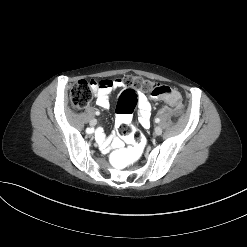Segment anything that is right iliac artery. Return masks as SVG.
I'll use <instances>...</instances> for the list:
<instances>
[{
	"label": "right iliac artery",
	"mask_w": 247,
	"mask_h": 247,
	"mask_svg": "<svg viewBox=\"0 0 247 247\" xmlns=\"http://www.w3.org/2000/svg\"><path fill=\"white\" fill-rule=\"evenodd\" d=\"M96 114L98 115V114H99V112L97 111V112H96Z\"/></svg>",
	"instance_id": "1"
}]
</instances>
